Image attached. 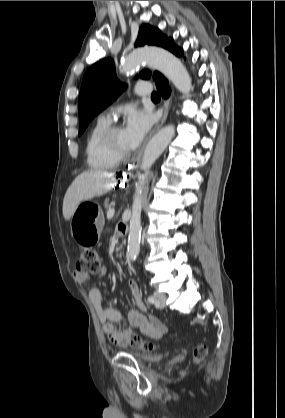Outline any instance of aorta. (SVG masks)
Segmentation results:
<instances>
[{
  "label": "aorta",
  "instance_id": "aorta-1",
  "mask_svg": "<svg viewBox=\"0 0 285 418\" xmlns=\"http://www.w3.org/2000/svg\"><path fill=\"white\" fill-rule=\"evenodd\" d=\"M143 62L163 73L181 93L189 95L192 87L189 73L178 58L164 49L150 47L135 50L123 59L120 70L121 72H130ZM174 136L175 127L173 125L166 126L149 141L145 148L140 165L145 174L138 176L129 226L127 250L128 257L132 261L137 258L140 251L141 210L146 175Z\"/></svg>",
  "mask_w": 285,
  "mask_h": 418
}]
</instances>
